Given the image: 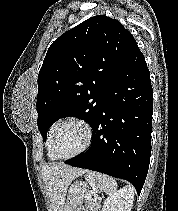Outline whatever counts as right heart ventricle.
<instances>
[{"mask_svg":"<svg viewBox=\"0 0 178 211\" xmlns=\"http://www.w3.org/2000/svg\"><path fill=\"white\" fill-rule=\"evenodd\" d=\"M59 123H60V121H56L51 125L49 133H48L47 141H46L47 155H48V158L51 159V160L57 159L55 157L54 153L52 152L51 141H52L53 132L56 129V127L58 126Z\"/></svg>","mask_w":178,"mask_h":211,"instance_id":"e07e8e85","label":"right heart ventricle"}]
</instances>
